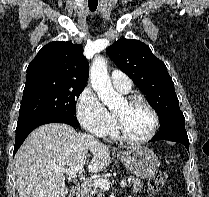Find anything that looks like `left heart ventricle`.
<instances>
[{"label": "left heart ventricle", "instance_id": "left-heart-ventricle-1", "mask_svg": "<svg viewBox=\"0 0 209 197\" xmlns=\"http://www.w3.org/2000/svg\"><path fill=\"white\" fill-rule=\"evenodd\" d=\"M114 113L121 119L127 134L134 138L146 136L153 125L152 114L140 102L129 105L122 101Z\"/></svg>", "mask_w": 209, "mask_h": 197}]
</instances>
